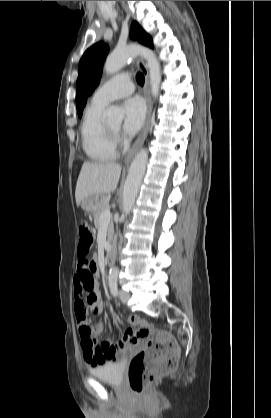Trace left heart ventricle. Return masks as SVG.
Listing matches in <instances>:
<instances>
[{
  "label": "left heart ventricle",
  "mask_w": 271,
  "mask_h": 418,
  "mask_svg": "<svg viewBox=\"0 0 271 418\" xmlns=\"http://www.w3.org/2000/svg\"><path fill=\"white\" fill-rule=\"evenodd\" d=\"M109 127L111 128V129H113L114 131H118L119 129H120V124H111V125H109Z\"/></svg>",
  "instance_id": "obj_1"
}]
</instances>
